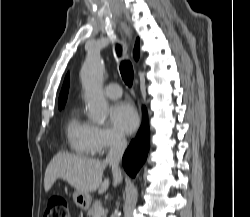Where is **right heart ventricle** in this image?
I'll return each instance as SVG.
<instances>
[{
    "label": "right heart ventricle",
    "mask_w": 250,
    "mask_h": 217,
    "mask_svg": "<svg viewBox=\"0 0 250 217\" xmlns=\"http://www.w3.org/2000/svg\"><path fill=\"white\" fill-rule=\"evenodd\" d=\"M93 126L82 119L78 109H73L65 124V134L69 148L83 156L93 155L91 136Z\"/></svg>",
    "instance_id": "e07e8e85"
}]
</instances>
